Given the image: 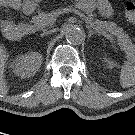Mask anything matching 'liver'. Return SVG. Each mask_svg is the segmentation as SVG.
<instances>
[{
    "label": "liver",
    "mask_w": 135,
    "mask_h": 135,
    "mask_svg": "<svg viewBox=\"0 0 135 135\" xmlns=\"http://www.w3.org/2000/svg\"><path fill=\"white\" fill-rule=\"evenodd\" d=\"M9 55L2 45H0V94L8 93V86L5 81V65L8 60Z\"/></svg>",
    "instance_id": "liver-1"
}]
</instances>
